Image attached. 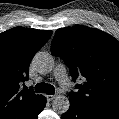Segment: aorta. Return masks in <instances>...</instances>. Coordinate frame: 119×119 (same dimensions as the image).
Masks as SVG:
<instances>
[{
	"mask_svg": "<svg viewBox=\"0 0 119 119\" xmlns=\"http://www.w3.org/2000/svg\"><path fill=\"white\" fill-rule=\"evenodd\" d=\"M33 63L37 71L41 74L49 73L54 66L53 57L48 52H38L33 59ZM70 106L69 100L63 95L57 96L52 102V108L58 114H63L68 111Z\"/></svg>",
	"mask_w": 119,
	"mask_h": 119,
	"instance_id": "aorta-1",
	"label": "aorta"
}]
</instances>
